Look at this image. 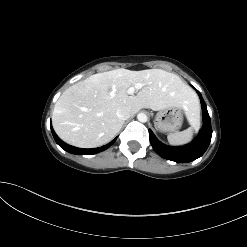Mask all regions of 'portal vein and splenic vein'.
<instances>
[{
    "mask_svg": "<svg viewBox=\"0 0 247 247\" xmlns=\"http://www.w3.org/2000/svg\"><path fill=\"white\" fill-rule=\"evenodd\" d=\"M143 86H144V84L137 83L127 90V94L132 95L135 91L140 90Z\"/></svg>",
    "mask_w": 247,
    "mask_h": 247,
    "instance_id": "portal-vein-and-splenic-vein-1",
    "label": "portal vein and splenic vein"
}]
</instances>
